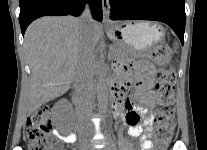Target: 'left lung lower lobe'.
I'll list each match as a JSON object with an SVG mask.
<instances>
[{"label": "left lung lower lobe", "instance_id": "obj_1", "mask_svg": "<svg viewBox=\"0 0 207 150\" xmlns=\"http://www.w3.org/2000/svg\"><path fill=\"white\" fill-rule=\"evenodd\" d=\"M109 5L111 19H143L166 23L183 44L186 21L185 0H110Z\"/></svg>", "mask_w": 207, "mask_h": 150}]
</instances>
